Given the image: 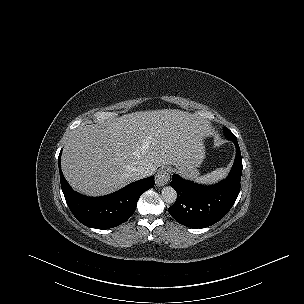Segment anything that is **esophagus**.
I'll return each mask as SVG.
<instances>
[{
  "instance_id": "esophagus-1",
  "label": "esophagus",
  "mask_w": 304,
  "mask_h": 304,
  "mask_svg": "<svg viewBox=\"0 0 304 304\" xmlns=\"http://www.w3.org/2000/svg\"><path fill=\"white\" fill-rule=\"evenodd\" d=\"M169 180H170V174L169 171L166 169H162L158 171V173L155 176V183L156 186L158 187L166 185Z\"/></svg>"
}]
</instances>
